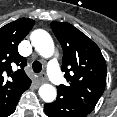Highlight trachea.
Here are the masks:
<instances>
[{
    "label": "trachea",
    "mask_w": 117,
    "mask_h": 117,
    "mask_svg": "<svg viewBox=\"0 0 117 117\" xmlns=\"http://www.w3.org/2000/svg\"><path fill=\"white\" fill-rule=\"evenodd\" d=\"M33 72L40 73L42 70V64L39 61H34L32 64Z\"/></svg>",
    "instance_id": "obj_1"
}]
</instances>
